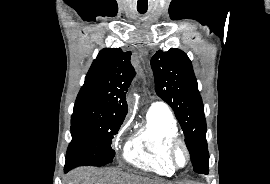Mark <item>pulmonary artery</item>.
<instances>
[{"label":"pulmonary artery","instance_id":"e3ab8cb5","mask_svg":"<svg viewBox=\"0 0 270 184\" xmlns=\"http://www.w3.org/2000/svg\"><path fill=\"white\" fill-rule=\"evenodd\" d=\"M151 107H166V105L163 102H153Z\"/></svg>","mask_w":270,"mask_h":184}]
</instances>
